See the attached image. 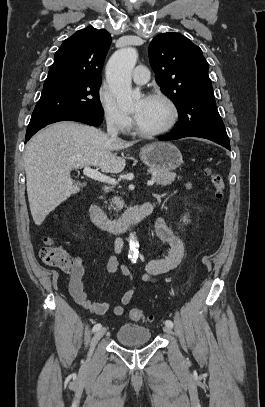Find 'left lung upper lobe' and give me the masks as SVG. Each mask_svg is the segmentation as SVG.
Segmentation results:
<instances>
[{
    "mask_svg": "<svg viewBox=\"0 0 265 407\" xmlns=\"http://www.w3.org/2000/svg\"><path fill=\"white\" fill-rule=\"evenodd\" d=\"M149 60L158 85L178 109L171 133L229 144L201 49L181 34L162 33L150 43Z\"/></svg>",
    "mask_w": 265,
    "mask_h": 407,
    "instance_id": "left-lung-upper-lobe-1",
    "label": "left lung upper lobe"
}]
</instances>
